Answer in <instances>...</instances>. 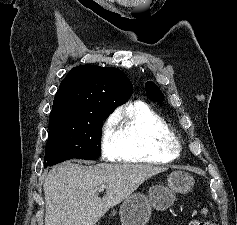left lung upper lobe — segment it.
<instances>
[{
  "mask_svg": "<svg viewBox=\"0 0 237 225\" xmlns=\"http://www.w3.org/2000/svg\"><path fill=\"white\" fill-rule=\"evenodd\" d=\"M146 93L149 95L151 99L157 102H161L164 100V95L160 91L157 85L152 82H147L146 85Z\"/></svg>",
  "mask_w": 237,
  "mask_h": 225,
  "instance_id": "obj_1",
  "label": "left lung upper lobe"
}]
</instances>
